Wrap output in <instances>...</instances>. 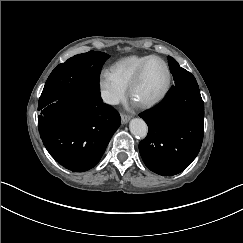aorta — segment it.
<instances>
[{"label": "aorta", "instance_id": "aorta-1", "mask_svg": "<svg viewBox=\"0 0 243 243\" xmlns=\"http://www.w3.org/2000/svg\"><path fill=\"white\" fill-rule=\"evenodd\" d=\"M129 129L137 139H144L148 133V126L141 118L132 119L129 123Z\"/></svg>", "mask_w": 243, "mask_h": 243}]
</instances>
